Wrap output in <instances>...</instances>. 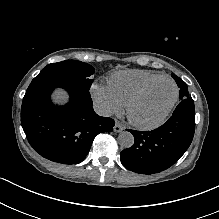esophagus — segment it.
<instances>
[{
  "instance_id": "esophagus-1",
  "label": "esophagus",
  "mask_w": 219,
  "mask_h": 219,
  "mask_svg": "<svg viewBox=\"0 0 219 219\" xmlns=\"http://www.w3.org/2000/svg\"><path fill=\"white\" fill-rule=\"evenodd\" d=\"M124 129H125L124 126L118 122H116L115 126L113 127V130L116 133L122 132Z\"/></svg>"
}]
</instances>
